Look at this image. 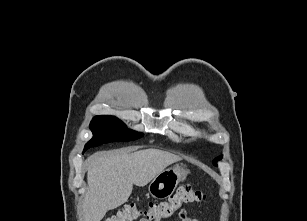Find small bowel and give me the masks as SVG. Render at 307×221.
Masks as SVG:
<instances>
[{"label": "small bowel", "instance_id": "1", "mask_svg": "<svg viewBox=\"0 0 307 221\" xmlns=\"http://www.w3.org/2000/svg\"><path fill=\"white\" fill-rule=\"evenodd\" d=\"M178 221H199V219L189 216L185 209H181L178 213Z\"/></svg>", "mask_w": 307, "mask_h": 221}]
</instances>
